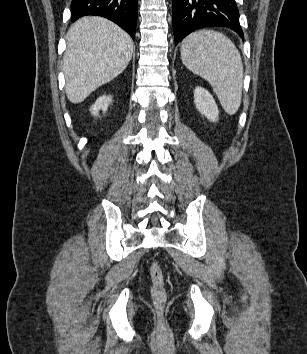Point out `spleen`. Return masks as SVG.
Returning <instances> with one entry per match:
<instances>
[{"instance_id": "obj_1", "label": "spleen", "mask_w": 307, "mask_h": 354, "mask_svg": "<svg viewBox=\"0 0 307 354\" xmlns=\"http://www.w3.org/2000/svg\"><path fill=\"white\" fill-rule=\"evenodd\" d=\"M180 51L183 64L210 83L224 111L235 114L242 98L243 64L233 42L220 32L199 30L183 39Z\"/></svg>"}]
</instances>
